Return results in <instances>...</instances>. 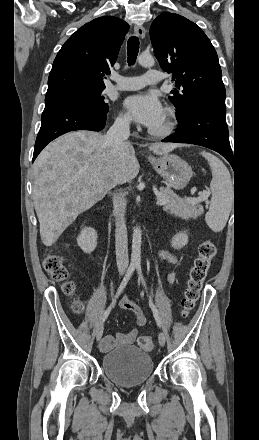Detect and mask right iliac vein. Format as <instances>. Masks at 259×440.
Returning <instances> with one entry per match:
<instances>
[{
	"label": "right iliac vein",
	"mask_w": 259,
	"mask_h": 440,
	"mask_svg": "<svg viewBox=\"0 0 259 440\" xmlns=\"http://www.w3.org/2000/svg\"><path fill=\"white\" fill-rule=\"evenodd\" d=\"M122 273H123V272H121V274H122ZM102 335H103V323H101V324L98 326V328H97V331H96V340L99 341V340L101 339Z\"/></svg>",
	"instance_id": "obj_1"
}]
</instances>
